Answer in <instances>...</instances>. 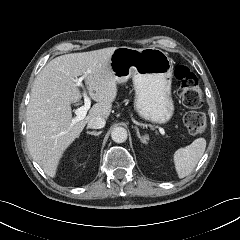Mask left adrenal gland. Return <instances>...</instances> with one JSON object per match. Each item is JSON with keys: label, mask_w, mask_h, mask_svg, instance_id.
Masks as SVG:
<instances>
[{"label": "left adrenal gland", "mask_w": 240, "mask_h": 240, "mask_svg": "<svg viewBox=\"0 0 240 240\" xmlns=\"http://www.w3.org/2000/svg\"><path fill=\"white\" fill-rule=\"evenodd\" d=\"M135 129H136L137 137L140 139V141H141L142 143H145V144H146V143H147V140H148V136H147V135L141 136L140 133H139L138 127H135Z\"/></svg>", "instance_id": "a2214340"}]
</instances>
